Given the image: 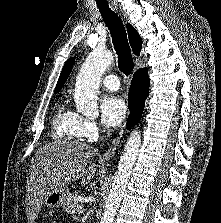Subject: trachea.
<instances>
[{
	"instance_id": "3493384b",
	"label": "trachea",
	"mask_w": 221,
	"mask_h": 223,
	"mask_svg": "<svg viewBox=\"0 0 221 223\" xmlns=\"http://www.w3.org/2000/svg\"><path fill=\"white\" fill-rule=\"evenodd\" d=\"M96 4L110 30L114 49L118 56L119 70L128 76L133 71L134 63L125 27L118 15L109 8L106 0H96Z\"/></svg>"
}]
</instances>
